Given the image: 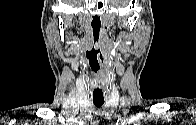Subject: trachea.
I'll use <instances>...</instances> for the list:
<instances>
[{
  "instance_id": "obj_1",
  "label": "trachea",
  "mask_w": 196,
  "mask_h": 125,
  "mask_svg": "<svg viewBox=\"0 0 196 125\" xmlns=\"http://www.w3.org/2000/svg\"><path fill=\"white\" fill-rule=\"evenodd\" d=\"M93 103L96 107H101L104 104V101L93 100Z\"/></svg>"
}]
</instances>
